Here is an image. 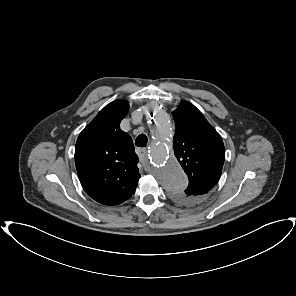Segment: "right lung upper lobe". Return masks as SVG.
<instances>
[{
	"label": "right lung upper lobe",
	"instance_id": "right-lung-upper-lobe-1",
	"mask_svg": "<svg viewBox=\"0 0 296 296\" xmlns=\"http://www.w3.org/2000/svg\"><path fill=\"white\" fill-rule=\"evenodd\" d=\"M128 102L116 100L105 106L80 133L75 164L85 192L104 205H117L135 192L141 177L132 138L120 129Z\"/></svg>",
	"mask_w": 296,
	"mask_h": 296
}]
</instances>
